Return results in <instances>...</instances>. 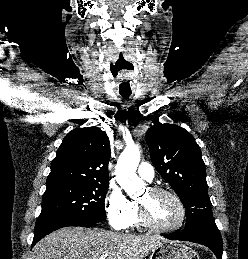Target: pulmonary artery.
<instances>
[{"instance_id":"pulmonary-artery-1","label":"pulmonary artery","mask_w":248,"mask_h":259,"mask_svg":"<svg viewBox=\"0 0 248 259\" xmlns=\"http://www.w3.org/2000/svg\"><path fill=\"white\" fill-rule=\"evenodd\" d=\"M137 173L142 179L146 181H152L154 178V169L147 162H143L139 165Z\"/></svg>"}]
</instances>
